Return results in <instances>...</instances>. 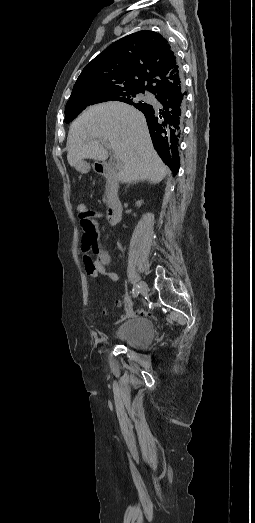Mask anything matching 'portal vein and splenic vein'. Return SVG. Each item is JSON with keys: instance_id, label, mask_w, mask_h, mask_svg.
<instances>
[{"instance_id": "obj_1", "label": "portal vein and splenic vein", "mask_w": 255, "mask_h": 523, "mask_svg": "<svg viewBox=\"0 0 255 523\" xmlns=\"http://www.w3.org/2000/svg\"><path fill=\"white\" fill-rule=\"evenodd\" d=\"M114 156H115V154H114ZM115 160H117V162L114 164V170L116 172H119L121 170V164L119 162V158H117V156H115Z\"/></svg>"}]
</instances>
